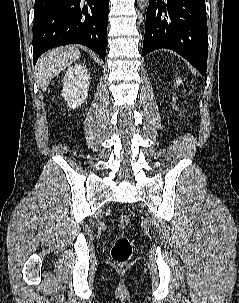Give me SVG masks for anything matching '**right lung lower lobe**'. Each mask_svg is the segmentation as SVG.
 <instances>
[{"instance_id":"98d812e1","label":"right lung lower lobe","mask_w":239,"mask_h":303,"mask_svg":"<svg viewBox=\"0 0 239 303\" xmlns=\"http://www.w3.org/2000/svg\"><path fill=\"white\" fill-rule=\"evenodd\" d=\"M109 0H35L33 61L45 51L82 44L105 60Z\"/></svg>"}]
</instances>
